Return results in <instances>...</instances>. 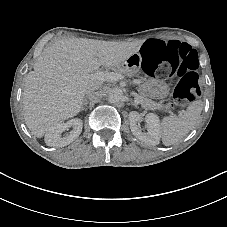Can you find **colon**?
<instances>
[{"mask_svg":"<svg viewBox=\"0 0 227 227\" xmlns=\"http://www.w3.org/2000/svg\"><path fill=\"white\" fill-rule=\"evenodd\" d=\"M140 54L147 74L161 79L178 78L168 109L184 106L201 95L198 55L187 44L150 39L144 43Z\"/></svg>","mask_w":227,"mask_h":227,"instance_id":"colon-1","label":"colon"}]
</instances>
